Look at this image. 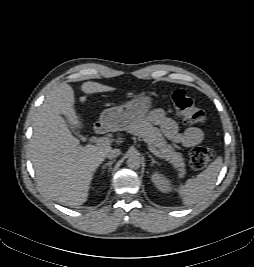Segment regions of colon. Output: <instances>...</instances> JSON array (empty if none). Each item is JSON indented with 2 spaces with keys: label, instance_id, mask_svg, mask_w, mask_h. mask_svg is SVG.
Segmentation results:
<instances>
[{
  "label": "colon",
  "instance_id": "1",
  "mask_svg": "<svg viewBox=\"0 0 254 267\" xmlns=\"http://www.w3.org/2000/svg\"><path fill=\"white\" fill-rule=\"evenodd\" d=\"M176 114L186 125L203 124L206 121L205 112L200 109L184 90H176L172 95ZM214 157L212 149L197 146L190 152V165L195 170L205 168Z\"/></svg>",
  "mask_w": 254,
  "mask_h": 267
}]
</instances>
